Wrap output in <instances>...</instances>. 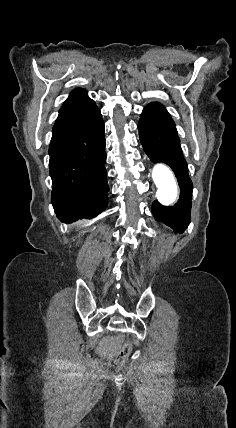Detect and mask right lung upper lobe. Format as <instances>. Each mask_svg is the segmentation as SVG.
Masks as SVG:
<instances>
[{
    "mask_svg": "<svg viewBox=\"0 0 236 428\" xmlns=\"http://www.w3.org/2000/svg\"><path fill=\"white\" fill-rule=\"evenodd\" d=\"M92 106H95V102L87 96V91L78 88L71 92L59 113L70 110H81Z\"/></svg>",
    "mask_w": 236,
    "mask_h": 428,
    "instance_id": "1",
    "label": "right lung upper lobe"
}]
</instances>
